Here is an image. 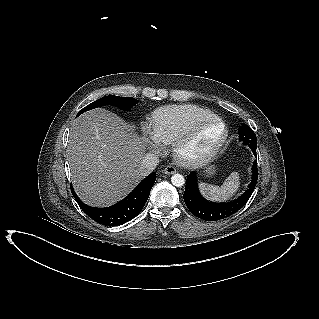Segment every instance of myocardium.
I'll use <instances>...</instances> for the list:
<instances>
[{"instance_id":"1","label":"myocardium","mask_w":319,"mask_h":319,"mask_svg":"<svg viewBox=\"0 0 319 319\" xmlns=\"http://www.w3.org/2000/svg\"><path fill=\"white\" fill-rule=\"evenodd\" d=\"M211 124H218L222 128L220 137L206 150L198 154L188 152L190 145L198 135ZM229 130L226 123L217 116H212L195 122L184 134L173 143V155L178 163L183 166L196 168L212 161L225 144Z\"/></svg>"}]
</instances>
